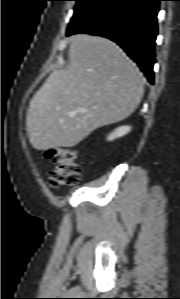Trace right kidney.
<instances>
[{
	"mask_svg": "<svg viewBox=\"0 0 180 299\" xmlns=\"http://www.w3.org/2000/svg\"><path fill=\"white\" fill-rule=\"evenodd\" d=\"M130 130H131L130 126L119 127L108 136L107 140L112 141L116 138L122 137V136L126 135L128 132H130Z\"/></svg>",
	"mask_w": 180,
	"mask_h": 299,
	"instance_id": "ca27d5eb",
	"label": "right kidney"
}]
</instances>
